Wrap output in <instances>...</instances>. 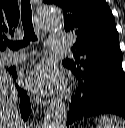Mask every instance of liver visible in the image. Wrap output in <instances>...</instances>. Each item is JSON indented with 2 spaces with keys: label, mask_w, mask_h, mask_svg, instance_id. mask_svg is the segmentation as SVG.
Here are the masks:
<instances>
[{
  "label": "liver",
  "mask_w": 125,
  "mask_h": 128,
  "mask_svg": "<svg viewBox=\"0 0 125 128\" xmlns=\"http://www.w3.org/2000/svg\"><path fill=\"white\" fill-rule=\"evenodd\" d=\"M18 95L12 78L0 70V128H22Z\"/></svg>",
  "instance_id": "1"
}]
</instances>
